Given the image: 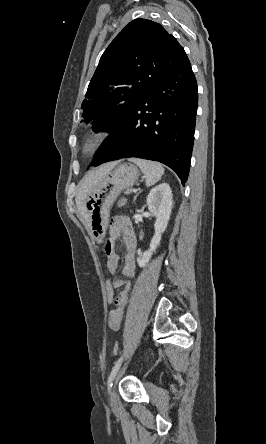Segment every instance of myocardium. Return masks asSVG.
I'll use <instances>...</instances> for the list:
<instances>
[{"instance_id": "obj_1", "label": "myocardium", "mask_w": 266, "mask_h": 444, "mask_svg": "<svg viewBox=\"0 0 266 444\" xmlns=\"http://www.w3.org/2000/svg\"><path fill=\"white\" fill-rule=\"evenodd\" d=\"M110 135V131L106 128L90 132L83 141V152L86 154L95 153L108 141Z\"/></svg>"}]
</instances>
